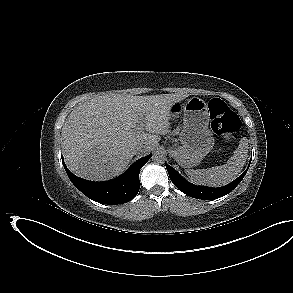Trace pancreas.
Wrapping results in <instances>:
<instances>
[{"label": "pancreas", "mask_w": 293, "mask_h": 293, "mask_svg": "<svg viewBox=\"0 0 293 293\" xmlns=\"http://www.w3.org/2000/svg\"><path fill=\"white\" fill-rule=\"evenodd\" d=\"M178 131H179V128H177V129L174 131V133H175V134H178Z\"/></svg>", "instance_id": "pancreas-1"}]
</instances>
